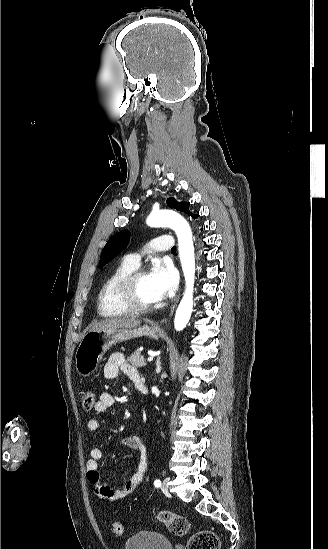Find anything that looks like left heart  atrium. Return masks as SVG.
I'll return each instance as SVG.
<instances>
[{"instance_id": "left-heart-atrium-1", "label": "left heart atrium", "mask_w": 328, "mask_h": 549, "mask_svg": "<svg viewBox=\"0 0 328 549\" xmlns=\"http://www.w3.org/2000/svg\"><path fill=\"white\" fill-rule=\"evenodd\" d=\"M150 286L156 301L171 297L178 286V274L169 263H161L155 266L149 274Z\"/></svg>"}]
</instances>
